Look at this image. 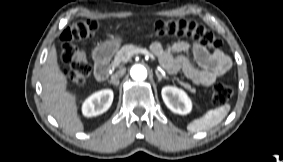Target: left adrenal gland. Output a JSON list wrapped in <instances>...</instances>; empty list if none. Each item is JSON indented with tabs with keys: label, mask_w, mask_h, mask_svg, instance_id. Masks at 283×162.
<instances>
[{
	"label": "left adrenal gland",
	"mask_w": 283,
	"mask_h": 162,
	"mask_svg": "<svg viewBox=\"0 0 283 162\" xmlns=\"http://www.w3.org/2000/svg\"><path fill=\"white\" fill-rule=\"evenodd\" d=\"M155 73H156V76L158 78V81H161L163 78L168 79V77L162 76L161 74H159V72L157 70L155 71Z\"/></svg>",
	"instance_id": "left-adrenal-gland-1"
}]
</instances>
